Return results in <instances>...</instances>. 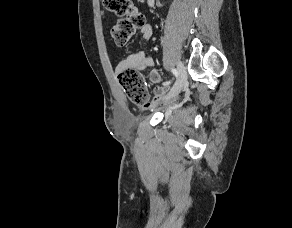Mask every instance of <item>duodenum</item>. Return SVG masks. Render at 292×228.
<instances>
[{
  "mask_svg": "<svg viewBox=\"0 0 292 228\" xmlns=\"http://www.w3.org/2000/svg\"><path fill=\"white\" fill-rule=\"evenodd\" d=\"M155 0H147L149 5H153Z\"/></svg>",
  "mask_w": 292,
  "mask_h": 228,
  "instance_id": "410a0bca",
  "label": "duodenum"
}]
</instances>
